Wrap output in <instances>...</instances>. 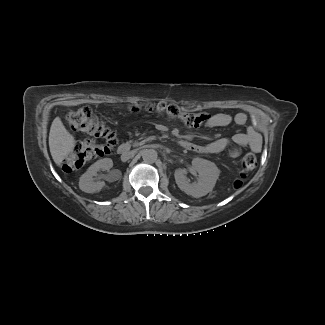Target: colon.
Returning a JSON list of instances; mask_svg holds the SVG:
<instances>
[{"mask_svg":"<svg viewBox=\"0 0 325 325\" xmlns=\"http://www.w3.org/2000/svg\"><path fill=\"white\" fill-rule=\"evenodd\" d=\"M131 110L134 112L147 111L157 115H165L195 128L205 124L209 119L208 114L184 111L176 105L164 102L149 103L143 107L134 105L131 106ZM67 120L73 131L88 135L90 138L77 143L66 156L63 163L64 170L72 171L78 169L91 160L105 156L113 148L116 141L113 131L90 107L71 111L67 115ZM256 166V157L252 153L246 154L242 158L240 176L235 180L234 187L240 188Z\"/></svg>","mask_w":325,"mask_h":325,"instance_id":"obj_1","label":"colon"}]
</instances>
